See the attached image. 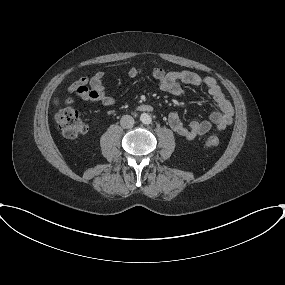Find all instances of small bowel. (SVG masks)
Masks as SVG:
<instances>
[{
    "label": "small bowel",
    "instance_id": "obj_1",
    "mask_svg": "<svg viewBox=\"0 0 285 285\" xmlns=\"http://www.w3.org/2000/svg\"><path fill=\"white\" fill-rule=\"evenodd\" d=\"M144 70L130 68L128 76L136 77L142 75ZM150 75L158 81L159 88L174 96H184L183 85L205 87L215 101L218 111L211 113L208 120L192 121L188 127L181 122L177 112H171L168 123L172 130L187 141L206 134L212 128L218 131L224 130L233 121L234 110L225 97L220 85L211 76H200L192 71H166L155 68ZM104 72L99 71L90 77H81L68 87V93L76 98H83L105 106H112L114 99L107 95L103 85Z\"/></svg>",
    "mask_w": 285,
    "mask_h": 285
}]
</instances>
